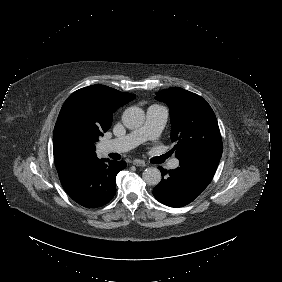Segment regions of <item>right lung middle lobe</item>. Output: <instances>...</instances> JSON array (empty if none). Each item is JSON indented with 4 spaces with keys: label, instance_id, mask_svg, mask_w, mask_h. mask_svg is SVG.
<instances>
[{
    "label": "right lung middle lobe",
    "instance_id": "1",
    "mask_svg": "<svg viewBox=\"0 0 282 282\" xmlns=\"http://www.w3.org/2000/svg\"><path fill=\"white\" fill-rule=\"evenodd\" d=\"M86 135H87V136H90V137H93V138H95V139L97 140V137H96V135H94V134L86 133Z\"/></svg>",
    "mask_w": 282,
    "mask_h": 282
}]
</instances>
